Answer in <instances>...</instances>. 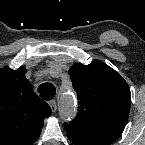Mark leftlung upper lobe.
Instances as JSON below:
<instances>
[{
  "instance_id": "left-lung-upper-lobe-1",
  "label": "left lung upper lobe",
  "mask_w": 145,
  "mask_h": 145,
  "mask_svg": "<svg viewBox=\"0 0 145 145\" xmlns=\"http://www.w3.org/2000/svg\"><path fill=\"white\" fill-rule=\"evenodd\" d=\"M78 95V113L73 123L125 127L131 93L126 81L101 61L74 64L69 70Z\"/></svg>"
}]
</instances>
